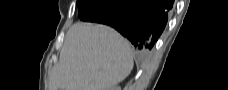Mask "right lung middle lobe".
<instances>
[{"label":"right lung middle lobe","instance_id":"right-lung-middle-lobe-1","mask_svg":"<svg viewBox=\"0 0 228 90\" xmlns=\"http://www.w3.org/2000/svg\"><path fill=\"white\" fill-rule=\"evenodd\" d=\"M100 0H77V6L79 8L78 15L81 18L85 14V8L87 6H98Z\"/></svg>","mask_w":228,"mask_h":90}]
</instances>
